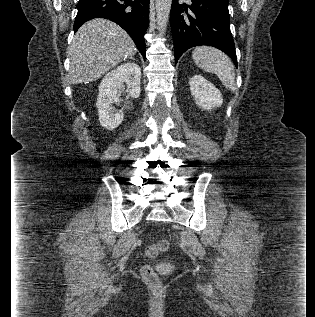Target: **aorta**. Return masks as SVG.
Segmentation results:
<instances>
[{
	"instance_id": "obj_1",
	"label": "aorta",
	"mask_w": 315,
	"mask_h": 317,
	"mask_svg": "<svg viewBox=\"0 0 315 317\" xmlns=\"http://www.w3.org/2000/svg\"><path fill=\"white\" fill-rule=\"evenodd\" d=\"M172 0H156V16L158 30L164 33L167 28Z\"/></svg>"
}]
</instances>
